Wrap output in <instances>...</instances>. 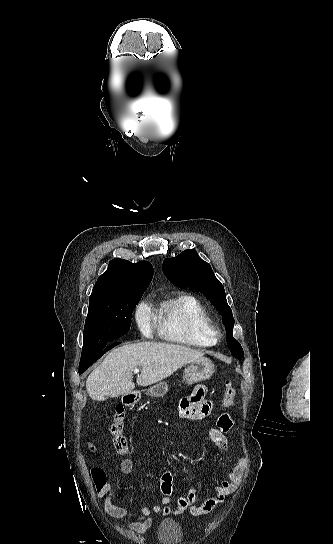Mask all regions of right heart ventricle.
Masks as SVG:
<instances>
[{
    "mask_svg": "<svg viewBox=\"0 0 333 544\" xmlns=\"http://www.w3.org/2000/svg\"><path fill=\"white\" fill-rule=\"evenodd\" d=\"M161 335L164 339L193 347L216 344L212 317L194 295L179 294L166 299L158 310Z\"/></svg>",
    "mask_w": 333,
    "mask_h": 544,
    "instance_id": "right-heart-ventricle-1",
    "label": "right heart ventricle"
}]
</instances>
